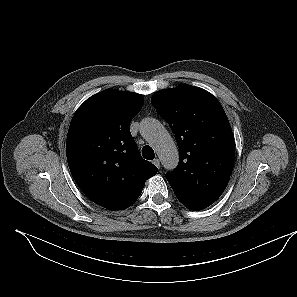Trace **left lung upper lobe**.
<instances>
[{"label":"left lung upper lobe","mask_w":297,"mask_h":297,"mask_svg":"<svg viewBox=\"0 0 297 297\" xmlns=\"http://www.w3.org/2000/svg\"><path fill=\"white\" fill-rule=\"evenodd\" d=\"M151 103L179 148V164L166 175L169 184L188 209L207 208L224 192L234 166V138L223 107L208 91L186 84L155 93Z\"/></svg>","instance_id":"left-lung-upper-lobe-1"}]
</instances>
